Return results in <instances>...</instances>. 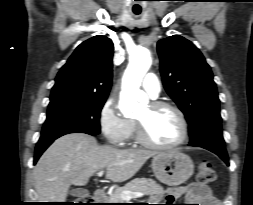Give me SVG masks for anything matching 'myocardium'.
<instances>
[{
  "instance_id": "1",
  "label": "myocardium",
  "mask_w": 253,
  "mask_h": 205,
  "mask_svg": "<svg viewBox=\"0 0 253 205\" xmlns=\"http://www.w3.org/2000/svg\"><path fill=\"white\" fill-rule=\"evenodd\" d=\"M149 106L154 111L166 108L175 112V114L179 118L182 127L181 137L176 142L168 145H160L154 143L147 136L144 124L139 120H135V133L137 141L144 147L154 150H171L184 144L189 136V124L184 112L177 105L168 101L162 100L153 101L149 104Z\"/></svg>"
}]
</instances>
